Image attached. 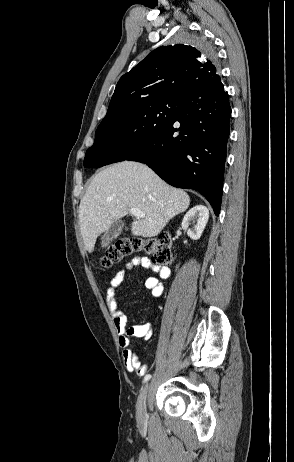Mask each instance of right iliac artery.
Listing matches in <instances>:
<instances>
[{
	"label": "right iliac artery",
	"mask_w": 294,
	"mask_h": 462,
	"mask_svg": "<svg viewBox=\"0 0 294 462\" xmlns=\"http://www.w3.org/2000/svg\"><path fill=\"white\" fill-rule=\"evenodd\" d=\"M150 378H151V375H150V374H147V375L144 377L143 383H146L148 380H150Z\"/></svg>",
	"instance_id": "right-iliac-artery-1"
}]
</instances>
